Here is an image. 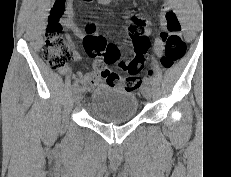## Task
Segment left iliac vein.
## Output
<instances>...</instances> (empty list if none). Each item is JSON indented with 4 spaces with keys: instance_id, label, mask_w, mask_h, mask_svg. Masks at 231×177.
<instances>
[{
    "instance_id": "4c4485c4",
    "label": "left iliac vein",
    "mask_w": 231,
    "mask_h": 177,
    "mask_svg": "<svg viewBox=\"0 0 231 177\" xmlns=\"http://www.w3.org/2000/svg\"><path fill=\"white\" fill-rule=\"evenodd\" d=\"M143 96L146 98V99H150L151 96H152V88L150 85H145L144 88H143Z\"/></svg>"
}]
</instances>
